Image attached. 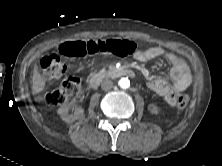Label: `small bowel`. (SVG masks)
Segmentation results:
<instances>
[{
    "label": "small bowel",
    "mask_w": 222,
    "mask_h": 166,
    "mask_svg": "<svg viewBox=\"0 0 222 166\" xmlns=\"http://www.w3.org/2000/svg\"><path fill=\"white\" fill-rule=\"evenodd\" d=\"M134 57L140 62H147L158 57H163L168 61L171 65L170 77L173 84L170 85L162 78H153L148 81V87L162 97L168 105L175 106L178 94L191 84L192 77L186 62L178 55L160 47L139 50L134 54Z\"/></svg>",
    "instance_id": "small-bowel-1"
}]
</instances>
